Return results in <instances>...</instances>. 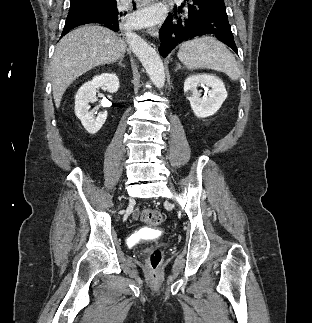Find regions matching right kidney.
Masks as SVG:
<instances>
[{
    "mask_svg": "<svg viewBox=\"0 0 312 323\" xmlns=\"http://www.w3.org/2000/svg\"><path fill=\"white\" fill-rule=\"evenodd\" d=\"M97 88H102L110 94L118 92L120 88L118 76L116 74H100L79 88L75 96V114L81 120V124L88 134H97L107 118V112H99L97 116H94L95 110L89 112V104L96 102Z\"/></svg>",
    "mask_w": 312,
    "mask_h": 323,
    "instance_id": "1",
    "label": "right kidney"
}]
</instances>
